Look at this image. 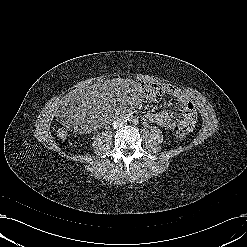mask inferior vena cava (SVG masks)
Listing matches in <instances>:
<instances>
[{"instance_id": "602c4592", "label": "inferior vena cava", "mask_w": 247, "mask_h": 247, "mask_svg": "<svg viewBox=\"0 0 247 247\" xmlns=\"http://www.w3.org/2000/svg\"><path fill=\"white\" fill-rule=\"evenodd\" d=\"M127 122V120L125 118H118L117 120H115L113 122V126L115 127H121L123 126L125 123Z\"/></svg>"}]
</instances>
